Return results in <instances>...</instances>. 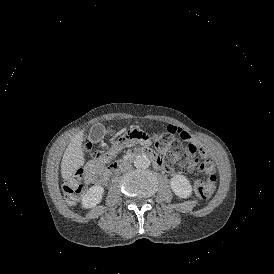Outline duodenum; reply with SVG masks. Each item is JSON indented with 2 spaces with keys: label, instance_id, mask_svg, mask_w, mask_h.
Segmentation results:
<instances>
[{
  "label": "duodenum",
  "instance_id": "410a0bca",
  "mask_svg": "<svg viewBox=\"0 0 274 274\" xmlns=\"http://www.w3.org/2000/svg\"><path fill=\"white\" fill-rule=\"evenodd\" d=\"M139 156H145V157L150 158L151 161L153 162V165L157 169H163L164 168L163 161L161 160V158L154 151H152L149 148H142V149H139V150L129 154L128 156H126L122 159H119V160H116V161L112 162L109 165V171L110 172H116L121 167H123L124 165L132 162L135 158H137Z\"/></svg>",
  "mask_w": 274,
  "mask_h": 274
}]
</instances>
